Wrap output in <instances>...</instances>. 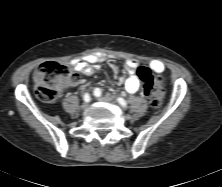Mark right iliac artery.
<instances>
[{
  "label": "right iliac artery",
  "mask_w": 222,
  "mask_h": 187,
  "mask_svg": "<svg viewBox=\"0 0 222 187\" xmlns=\"http://www.w3.org/2000/svg\"><path fill=\"white\" fill-rule=\"evenodd\" d=\"M83 98L86 102H89L91 100L90 95L88 93L84 94Z\"/></svg>",
  "instance_id": "right-iliac-artery-1"
}]
</instances>
